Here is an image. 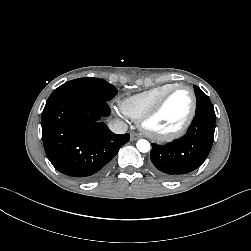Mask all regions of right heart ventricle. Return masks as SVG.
Returning <instances> with one entry per match:
<instances>
[{
	"label": "right heart ventricle",
	"mask_w": 251,
	"mask_h": 251,
	"mask_svg": "<svg viewBox=\"0 0 251 251\" xmlns=\"http://www.w3.org/2000/svg\"><path fill=\"white\" fill-rule=\"evenodd\" d=\"M174 85L176 84H164L124 97L119 101V108L127 117L133 120H139L143 114Z\"/></svg>",
	"instance_id": "obj_1"
}]
</instances>
